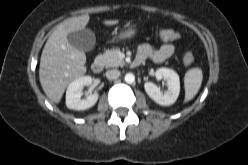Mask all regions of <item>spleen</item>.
<instances>
[{"label":"spleen","mask_w":248,"mask_h":165,"mask_svg":"<svg viewBox=\"0 0 248 165\" xmlns=\"http://www.w3.org/2000/svg\"><path fill=\"white\" fill-rule=\"evenodd\" d=\"M202 84V70L192 68L188 70L184 78L185 99L184 102L192 100L199 91Z\"/></svg>","instance_id":"1"}]
</instances>
